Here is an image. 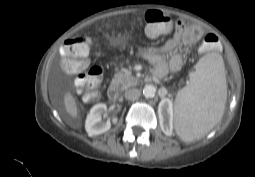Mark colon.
I'll use <instances>...</instances> for the list:
<instances>
[{
	"label": "colon",
	"instance_id": "1",
	"mask_svg": "<svg viewBox=\"0 0 255 177\" xmlns=\"http://www.w3.org/2000/svg\"><path fill=\"white\" fill-rule=\"evenodd\" d=\"M145 31L149 37H157L170 30L172 20L169 16L158 10H148L144 16ZM218 38L213 34H207L202 42L204 50H211L217 46ZM216 43V46L214 45ZM92 38L82 34L68 39L61 46V65L63 70L75 75V85L87 101H95L98 96V88L101 81V69L89 68V51Z\"/></svg>",
	"mask_w": 255,
	"mask_h": 177
}]
</instances>
